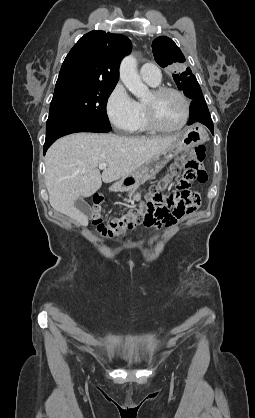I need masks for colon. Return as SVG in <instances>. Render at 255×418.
<instances>
[{
	"label": "colon",
	"mask_w": 255,
	"mask_h": 418,
	"mask_svg": "<svg viewBox=\"0 0 255 418\" xmlns=\"http://www.w3.org/2000/svg\"><path fill=\"white\" fill-rule=\"evenodd\" d=\"M205 148L197 146L192 151L183 155L181 162L171 165L168 176L182 172V178L178 183L177 191L162 193L159 187L151 191L149 201L140 210H134L127 214L112 218L107 225L103 222L102 198L94 200L92 223L98 232L106 239L119 238L125 229L132 227L140 220L147 227H159L162 224L169 226L173 219L180 221L181 217L192 216V212L200 206V198L197 193L189 190L193 182L204 183L207 174L203 166Z\"/></svg>",
	"instance_id": "5ec220e1"
}]
</instances>
